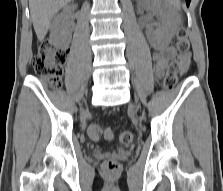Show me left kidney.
<instances>
[{"mask_svg":"<svg viewBox=\"0 0 223 191\" xmlns=\"http://www.w3.org/2000/svg\"><path fill=\"white\" fill-rule=\"evenodd\" d=\"M141 4L151 8L157 14L159 20L156 29L148 28L149 38L159 44H168L180 23L178 14L170 6L160 1L144 0Z\"/></svg>","mask_w":223,"mask_h":191,"instance_id":"obj_1","label":"left kidney"}]
</instances>
